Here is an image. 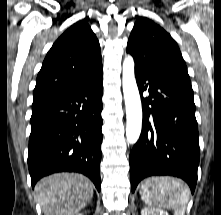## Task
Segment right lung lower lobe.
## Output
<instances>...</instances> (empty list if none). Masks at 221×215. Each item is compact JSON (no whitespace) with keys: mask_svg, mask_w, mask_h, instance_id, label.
Segmentation results:
<instances>
[{"mask_svg":"<svg viewBox=\"0 0 221 215\" xmlns=\"http://www.w3.org/2000/svg\"><path fill=\"white\" fill-rule=\"evenodd\" d=\"M102 74L32 106L28 167L32 187L55 172H79L100 191Z\"/></svg>","mask_w":221,"mask_h":215,"instance_id":"98d812e1","label":"right lung lower lobe"}]
</instances>
